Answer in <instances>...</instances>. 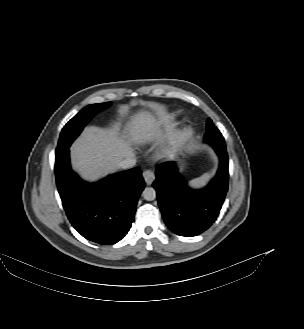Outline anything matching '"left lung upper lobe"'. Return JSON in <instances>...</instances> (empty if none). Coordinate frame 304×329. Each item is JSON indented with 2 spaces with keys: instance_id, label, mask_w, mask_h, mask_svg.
I'll return each instance as SVG.
<instances>
[{
  "instance_id": "left-lung-upper-lobe-1",
  "label": "left lung upper lobe",
  "mask_w": 304,
  "mask_h": 329,
  "mask_svg": "<svg viewBox=\"0 0 304 329\" xmlns=\"http://www.w3.org/2000/svg\"><path fill=\"white\" fill-rule=\"evenodd\" d=\"M212 126H213L212 120L210 118H208V121H207V124H206V129H207L206 132L211 131Z\"/></svg>"
}]
</instances>
